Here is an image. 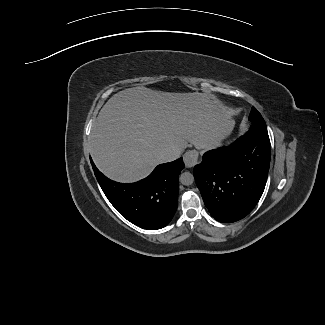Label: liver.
Masks as SVG:
<instances>
[{
	"label": "liver",
	"instance_id": "6515ba94",
	"mask_svg": "<svg viewBox=\"0 0 325 325\" xmlns=\"http://www.w3.org/2000/svg\"><path fill=\"white\" fill-rule=\"evenodd\" d=\"M232 126L227 107L206 93L134 87L114 94L103 106L93 124L88 150L108 178L130 183L164 162V149L173 148L180 155L188 142L207 148L218 130Z\"/></svg>",
	"mask_w": 325,
	"mask_h": 325
}]
</instances>
